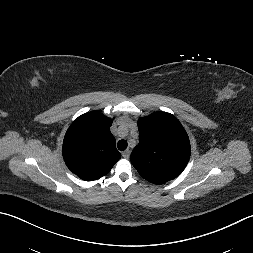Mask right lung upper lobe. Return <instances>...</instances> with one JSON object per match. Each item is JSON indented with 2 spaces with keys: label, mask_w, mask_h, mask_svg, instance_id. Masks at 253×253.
<instances>
[{
  "label": "right lung upper lobe",
  "mask_w": 253,
  "mask_h": 253,
  "mask_svg": "<svg viewBox=\"0 0 253 253\" xmlns=\"http://www.w3.org/2000/svg\"><path fill=\"white\" fill-rule=\"evenodd\" d=\"M112 119L98 111L78 117L63 141V158L71 172L85 181L106 175L121 158L110 132Z\"/></svg>",
  "instance_id": "1"
}]
</instances>
